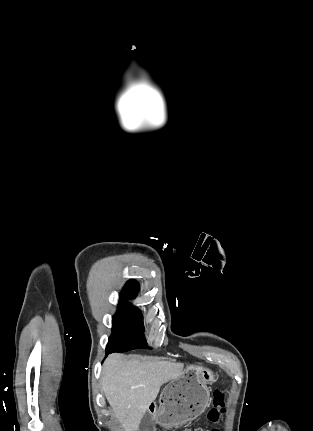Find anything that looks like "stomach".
Instances as JSON below:
<instances>
[{"instance_id": "1", "label": "stomach", "mask_w": 313, "mask_h": 431, "mask_svg": "<svg viewBox=\"0 0 313 431\" xmlns=\"http://www.w3.org/2000/svg\"><path fill=\"white\" fill-rule=\"evenodd\" d=\"M215 382V375L206 368L187 367L182 376L170 381L159 399L154 417L163 427H177L200 416L209 404L207 384Z\"/></svg>"}]
</instances>
